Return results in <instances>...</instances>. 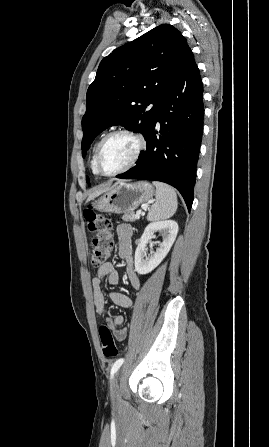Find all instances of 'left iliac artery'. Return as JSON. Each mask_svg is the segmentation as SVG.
Wrapping results in <instances>:
<instances>
[{
	"mask_svg": "<svg viewBox=\"0 0 269 447\" xmlns=\"http://www.w3.org/2000/svg\"><path fill=\"white\" fill-rule=\"evenodd\" d=\"M124 359L120 358L118 359L114 364L113 367L111 369V375H110V379H113L114 374L117 372V370L120 368V366L123 364Z\"/></svg>",
	"mask_w": 269,
	"mask_h": 447,
	"instance_id": "44dca946",
	"label": "left iliac artery"
}]
</instances>
